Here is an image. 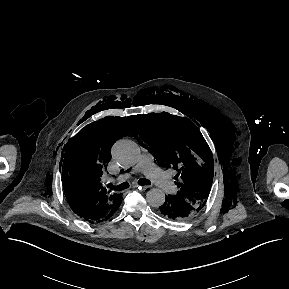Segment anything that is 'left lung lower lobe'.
<instances>
[{
  "label": "left lung lower lobe",
  "instance_id": "1",
  "mask_svg": "<svg viewBox=\"0 0 289 289\" xmlns=\"http://www.w3.org/2000/svg\"><path fill=\"white\" fill-rule=\"evenodd\" d=\"M159 208L164 217L174 221L186 220L198 212V210L188 202L171 195L166 196L164 204Z\"/></svg>",
  "mask_w": 289,
  "mask_h": 289
}]
</instances>
